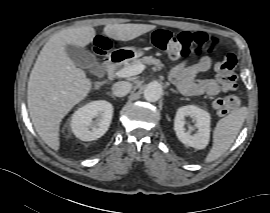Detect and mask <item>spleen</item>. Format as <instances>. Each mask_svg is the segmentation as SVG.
Returning <instances> with one entry per match:
<instances>
[{"mask_svg": "<svg viewBox=\"0 0 270 213\" xmlns=\"http://www.w3.org/2000/svg\"><path fill=\"white\" fill-rule=\"evenodd\" d=\"M247 115L245 107L220 119L213 131V146L205 161L212 162L222 156L236 139Z\"/></svg>", "mask_w": 270, "mask_h": 213, "instance_id": "3e777b00", "label": "spleen"}]
</instances>
